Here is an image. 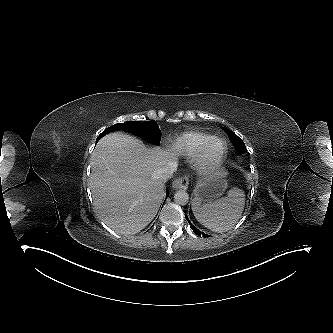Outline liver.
Instances as JSON below:
<instances>
[{"instance_id":"obj_1","label":"liver","mask_w":333,"mask_h":333,"mask_svg":"<svg viewBox=\"0 0 333 333\" xmlns=\"http://www.w3.org/2000/svg\"><path fill=\"white\" fill-rule=\"evenodd\" d=\"M177 152L147 148L123 133L103 137L91 156L90 189L101 220L122 235L144 229L164 197L160 169L176 161Z\"/></svg>"}]
</instances>
